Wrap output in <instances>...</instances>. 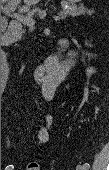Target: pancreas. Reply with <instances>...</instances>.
<instances>
[{
  "instance_id": "1",
  "label": "pancreas",
  "mask_w": 109,
  "mask_h": 170,
  "mask_svg": "<svg viewBox=\"0 0 109 170\" xmlns=\"http://www.w3.org/2000/svg\"><path fill=\"white\" fill-rule=\"evenodd\" d=\"M92 15L93 10H89L83 6L77 7L76 5H71L68 7H63L62 11L59 13V16H67L70 15L72 17L80 16V15Z\"/></svg>"
}]
</instances>
